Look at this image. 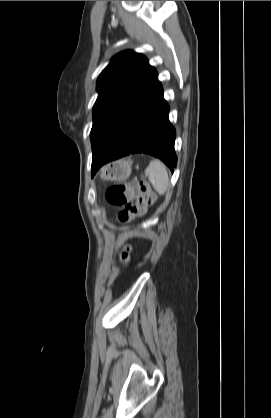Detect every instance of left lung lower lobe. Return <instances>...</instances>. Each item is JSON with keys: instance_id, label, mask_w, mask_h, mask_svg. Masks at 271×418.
I'll return each mask as SVG.
<instances>
[{"instance_id": "obj_1", "label": "left lung lower lobe", "mask_w": 271, "mask_h": 418, "mask_svg": "<svg viewBox=\"0 0 271 418\" xmlns=\"http://www.w3.org/2000/svg\"><path fill=\"white\" fill-rule=\"evenodd\" d=\"M169 106L157 81L122 119L92 159V176L105 163L134 153L160 158L173 171L176 132L169 122Z\"/></svg>"}]
</instances>
